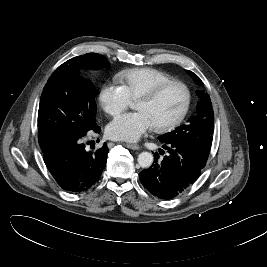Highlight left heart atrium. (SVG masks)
<instances>
[{
    "label": "left heart atrium",
    "mask_w": 267,
    "mask_h": 267,
    "mask_svg": "<svg viewBox=\"0 0 267 267\" xmlns=\"http://www.w3.org/2000/svg\"><path fill=\"white\" fill-rule=\"evenodd\" d=\"M152 128L146 115L140 111L124 113L108 126L107 134L115 140L134 142Z\"/></svg>",
    "instance_id": "left-heart-atrium-1"
}]
</instances>
